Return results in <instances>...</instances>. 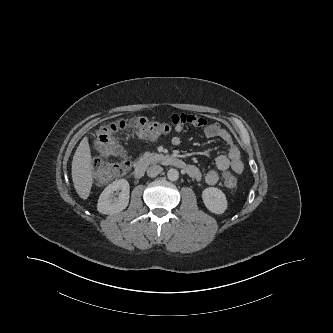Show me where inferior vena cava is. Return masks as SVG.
Here are the masks:
<instances>
[{"instance_id": "obj_1", "label": "inferior vena cava", "mask_w": 333, "mask_h": 333, "mask_svg": "<svg viewBox=\"0 0 333 333\" xmlns=\"http://www.w3.org/2000/svg\"><path fill=\"white\" fill-rule=\"evenodd\" d=\"M163 168L159 165H152L147 169V175L149 177H156L162 172Z\"/></svg>"}]
</instances>
